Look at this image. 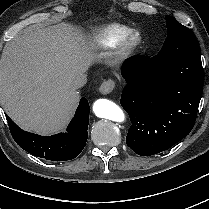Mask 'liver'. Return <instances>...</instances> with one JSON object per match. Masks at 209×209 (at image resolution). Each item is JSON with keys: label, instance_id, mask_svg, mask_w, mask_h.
I'll list each match as a JSON object with an SVG mask.
<instances>
[{"label": "liver", "instance_id": "obj_1", "mask_svg": "<svg viewBox=\"0 0 209 209\" xmlns=\"http://www.w3.org/2000/svg\"><path fill=\"white\" fill-rule=\"evenodd\" d=\"M93 60L84 35L72 25L27 27L2 51L0 102L25 130H64L79 102L72 82Z\"/></svg>", "mask_w": 209, "mask_h": 209}]
</instances>
